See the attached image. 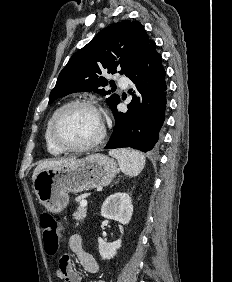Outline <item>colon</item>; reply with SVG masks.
I'll return each instance as SVG.
<instances>
[{
  "mask_svg": "<svg viewBox=\"0 0 232 282\" xmlns=\"http://www.w3.org/2000/svg\"><path fill=\"white\" fill-rule=\"evenodd\" d=\"M39 219L43 232L45 251L49 256H55L60 248V226L57 220L49 213H41Z\"/></svg>",
  "mask_w": 232,
  "mask_h": 282,
  "instance_id": "colon-1",
  "label": "colon"
}]
</instances>
